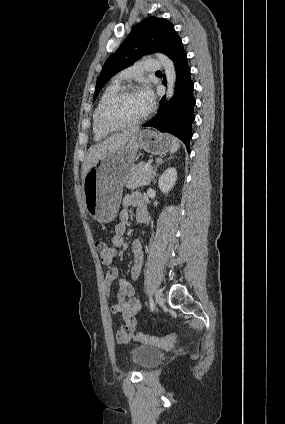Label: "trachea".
Masks as SVG:
<instances>
[{
    "label": "trachea",
    "instance_id": "obj_1",
    "mask_svg": "<svg viewBox=\"0 0 285 424\" xmlns=\"http://www.w3.org/2000/svg\"><path fill=\"white\" fill-rule=\"evenodd\" d=\"M156 73H161V71H157Z\"/></svg>",
    "mask_w": 285,
    "mask_h": 424
}]
</instances>
